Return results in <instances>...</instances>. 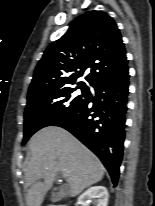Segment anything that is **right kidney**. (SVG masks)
I'll use <instances>...</instances> for the list:
<instances>
[{
    "mask_svg": "<svg viewBox=\"0 0 155 206\" xmlns=\"http://www.w3.org/2000/svg\"><path fill=\"white\" fill-rule=\"evenodd\" d=\"M109 193L103 186H94L87 189L79 196L78 202L81 206H88L92 202L95 206H107Z\"/></svg>",
    "mask_w": 155,
    "mask_h": 206,
    "instance_id": "ca27d5eb",
    "label": "right kidney"
}]
</instances>
